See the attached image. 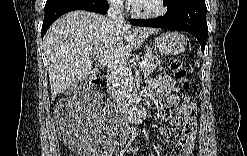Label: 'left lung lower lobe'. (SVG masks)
I'll return each mask as SVG.
<instances>
[{"mask_svg": "<svg viewBox=\"0 0 247 156\" xmlns=\"http://www.w3.org/2000/svg\"><path fill=\"white\" fill-rule=\"evenodd\" d=\"M204 0H181L168 8L166 14L155 20H130L135 26L156 27L186 31L194 35L204 52L208 36Z\"/></svg>", "mask_w": 247, "mask_h": 156, "instance_id": "left-lung-lower-lobe-1", "label": "left lung lower lobe"}]
</instances>
